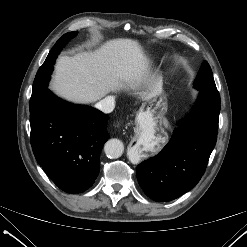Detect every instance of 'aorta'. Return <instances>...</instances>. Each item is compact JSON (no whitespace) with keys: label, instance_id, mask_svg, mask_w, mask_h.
<instances>
[{"label":"aorta","instance_id":"aorta-1","mask_svg":"<svg viewBox=\"0 0 247 247\" xmlns=\"http://www.w3.org/2000/svg\"><path fill=\"white\" fill-rule=\"evenodd\" d=\"M124 151L123 143L118 139H110L104 145V152L109 158H119Z\"/></svg>","mask_w":247,"mask_h":247}]
</instances>
